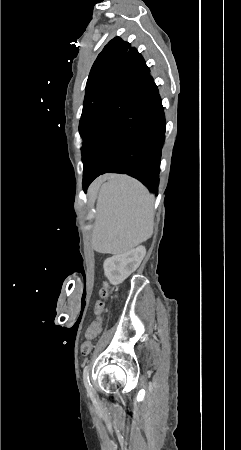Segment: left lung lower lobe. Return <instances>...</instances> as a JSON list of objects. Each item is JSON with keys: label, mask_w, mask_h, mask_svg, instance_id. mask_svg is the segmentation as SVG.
<instances>
[{"label": "left lung lower lobe", "mask_w": 241, "mask_h": 450, "mask_svg": "<svg viewBox=\"0 0 241 450\" xmlns=\"http://www.w3.org/2000/svg\"><path fill=\"white\" fill-rule=\"evenodd\" d=\"M132 57L117 99L95 120L82 147L83 188L99 175L133 176L157 195L165 116L143 57Z\"/></svg>", "instance_id": "0a47b994"}]
</instances>
